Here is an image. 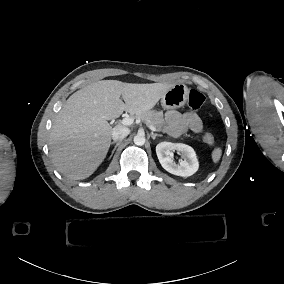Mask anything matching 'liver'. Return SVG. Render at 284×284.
Wrapping results in <instances>:
<instances>
[{
	"instance_id": "liver-1",
	"label": "liver",
	"mask_w": 284,
	"mask_h": 284,
	"mask_svg": "<svg viewBox=\"0 0 284 284\" xmlns=\"http://www.w3.org/2000/svg\"><path fill=\"white\" fill-rule=\"evenodd\" d=\"M175 85L102 80L73 93L57 114L49 137L57 170L72 180L90 177L111 145L113 128L107 120L124 111L131 115L150 111Z\"/></svg>"
}]
</instances>
